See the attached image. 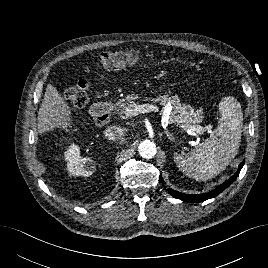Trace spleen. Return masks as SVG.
Wrapping results in <instances>:
<instances>
[{
    "label": "spleen",
    "instance_id": "1",
    "mask_svg": "<svg viewBox=\"0 0 268 268\" xmlns=\"http://www.w3.org/2000/svg\"><path fill=\"white\" fill-rule=\"evenodd\" d=\"M219 125L209 139L200 143L185 157L175 154L176 163L187 176L207 181L221 173L236 156L241 140L243 113L233 97H224L219 103Z\"/></svg>",
    "mask_w": 268,
    "mask_h": 268
}]
</instances>
